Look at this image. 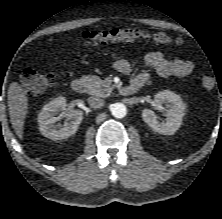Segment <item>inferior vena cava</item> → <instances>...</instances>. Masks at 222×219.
<instances>
[{
    "instance_id": "inferior-vena-cava-1",
    "label": "inferior vena cava",
    "mask_w": 222,
    "mask_h": 219,
    "mask_svg": "<svg viewBox=\"0 0 222 219\" xmlns=\"http://www.w3.org/2000/svg\"><path fill=\"white\" fill-rule=\"evenodd\" d=\"M88 104L93 108H101L104 105V100L96 96H91L88 98Z\"/></svg>"
}]
</instances>
